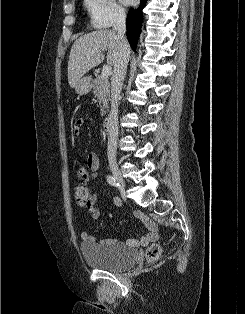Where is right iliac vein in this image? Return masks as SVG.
I'll use <instances>...</instances> for the list:
<instances>
[{
  "label": "right iliac vein",
  "mask_w": 245,
  "mask_h": 314,
  "mask_svg": "<svg viewBox=\"0 0 245 314\" xmlns=\"http://www.w3.org/2000/svg\"><path fill=\"white\" fill-rule=\"evenodd\" d=\"M110 169L112 171L113 176L115 177L117 182L120 184L121 189L124 191L125 190V181H124V178H123L119 168L117 167L116 164L112 163V164H110Z\"/></svg>",
  "instance_id": "obj_1"
}]
</instances>
